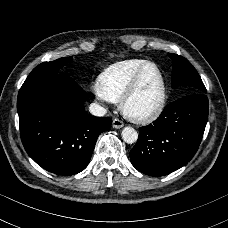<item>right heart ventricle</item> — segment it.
I'll list each match as a JSON object with an SVG mask.
<instances>
[{
  "label": "right heart ventricle",
  "instance_id": "right-heart-ventricle-1",
  "mask_svg": "<svg viewBox=\"0 0 228 228\" xmlns=\"http://www.w3.org/2000/svg\"><path fill=\"white\" fill-rule=\"evenodd\" d=\"M151 61L126 59L114 62L104 69L97 80V91L110 102H119L136 74Z\"/></svg>",
  "mask_w": 228,
  "mask_h": 228
}]
</instances>
